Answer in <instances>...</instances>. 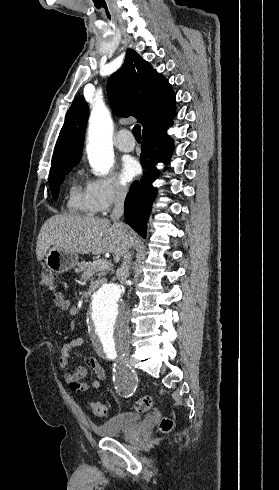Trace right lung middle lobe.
Masks as SVG:
<instances>
[{
  "label": "right lung middle lobe",
  "mask_w": 279,
  "mask_h": 490,
  "mask_svg": "<svg viewBox=\"0 0 279 490\" xmlns=\"http://www.w3.org/2000/svg\"><path fill=\"white\" fill-rule=\"evenodd\" d=\"M77 165V164H75ZM75 165L61 167L55 170L50 171L49 176V185L52 191V195L54 197H58L59 195V186L64 179V175H66Z\"/></svg>",
  "instance_id": "right-lung-middle-lobe-1"
}]
</instances>
